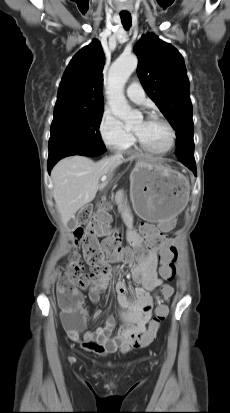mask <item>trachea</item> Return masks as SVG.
<instances>
[{"instance_id":"obj_1","label":"trachea","mask_w":230,"mask_h":413,"mask_svg":"<svg viewBox=\"0 0 230 413\" xmlns=\"http://www.w3.org/2000/svg\"><path fill=\"white\" fill-rule=\"evenodd\" d=\"M121 22L126 30L131 26V14L128 12L120 13Z\"/></svg>"}]
</instances>
